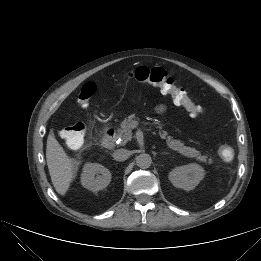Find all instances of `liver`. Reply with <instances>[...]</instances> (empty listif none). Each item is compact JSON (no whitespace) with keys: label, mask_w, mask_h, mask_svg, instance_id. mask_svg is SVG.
<instances>
[{"label":"liver","mask_w":261,"mask_h":261,"mask_svg":"<svg viewBox=\"0 0 261 261\" xmlns=\"http://www.w3.org/2000/svg\"><path fill=\"white\" fill-rule=\"evenodd\" d=\"M46 161L55 190L65 195L74 178L76 162L65 153L53 133L47 138Z\"/></svg>","instance_id":"6515ba94"}]
</instances>
